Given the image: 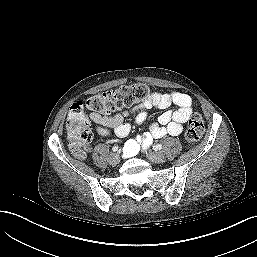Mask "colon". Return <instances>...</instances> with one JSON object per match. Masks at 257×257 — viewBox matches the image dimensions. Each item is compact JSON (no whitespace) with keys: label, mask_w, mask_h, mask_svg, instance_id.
<instances>
[{"label":"colon","mask_w":257,"mask_h":257,"mask_svg":"<svg viewBox=\"0 0 257 257\" xmlns=\"http://www.w3.org/2000/svg\"><path fill=\"white\" fill-rule=\"evenodd\" d=\"M149 95L148 87L144 84H133L124 86L116 90L99 93L87 99L79 100L70 107L66 121V131L72 153L83 158L86 155L88 144L92 139V133L88 127V122L82 114L83 108L109 113L124 107H130ZM204 132L203 118L199 113H191L185 140L188 144L197 143Z\"/></svg>","instance_id":"colon-1"}]
</instances>
